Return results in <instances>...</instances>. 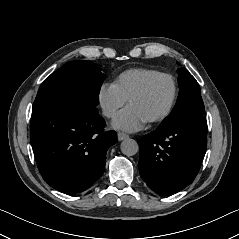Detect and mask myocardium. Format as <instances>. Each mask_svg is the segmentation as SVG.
Masks as SVG:
<instances>
[{"label":"myocardium","mask_w":239,"mask_h":239,"mask_svg":"<svg viewBox=\"0 0 239 239\" xmlns=\"http://www.w3.org/2000/svg\"><path fill=\"white\" fill-rule=\"evenodd\" d=\"M162 78L169 80V82L171 84V97H170V100H169L167 106L165 107V109L162 112H160L159 114H157L154 117L147 120L149 123H155V122L161 121L170 114V112L174 106L176 96H177V86H176V83H175V80L173 79V77L167 73H158V74L150 77L149 79H147L136 91H134L130 95V97L127 100V103L129 105L133 100L142 96L153 82H155L158 79H162Z\"/></svg>","instance_id":"myocardium-1"}]
</instances>
